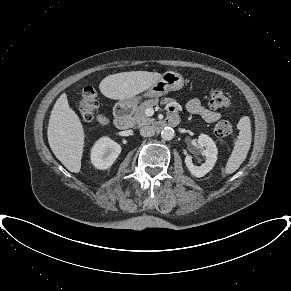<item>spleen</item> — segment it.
Returning a JSON list of instances; mask_svg holds the SVG:
<instances>
[{"mask_svg": "<svg viewBox=\"0 0 291 291\" xmlns=\"http://www.w3.org/2000/svg\"><path fill=\"white\" fill-rule=\"evenodd\" d=\"M239 136L235 142L233 151L225 166V174L234 173L246 159L251 145V126L247 116L242 117L238 122Z\"/></svg>", "mask_w": 291, "mask_h": 291, "instance_id": "obj_1", "label": "spleen"}]
</instances>
